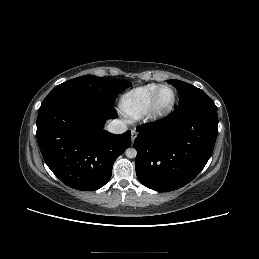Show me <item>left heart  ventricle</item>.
<instances>
[{
	"label": "left heart ventricle",
	"instance_id": "left-heart-ventricle-1",
	"mask_svg": "<svg viewBox=\"0 0 259 259\" xmlns=\"http://www.w3.org/2000/svg\"><path fill=\"white\" fill-rule=\"evenodd\" d=\"M172 100V91L170 89H164L158 98V105L164 107L168 105Z\"/></svg>",
	"mask_w": 259,
	"mask_h": 259
}]
</instances>
